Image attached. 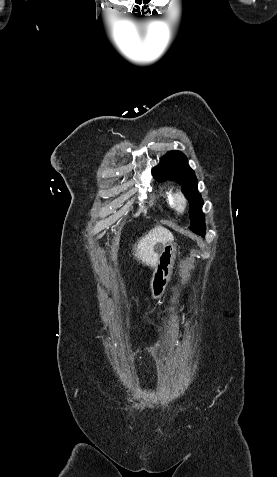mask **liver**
Segmentation results:
<instances>
[{
	"instance_id": "6515ba94",
	"label": "liver",
	"mask_w": 277,
	"mask_h": 477,
	"mask_svg": "<svg viewBox=\"0 0 277 477\" xmlns=\"http://www.w3.org/2000/svg\"><path fill=\"white\" fill-rule=\"evenodd\" d=\"M171 241H173L172 233L162 226H156L140 238L135 245L134 256L145 265L154 268L160 254L155 252V245L160 243L163 246Z\"/></svg>"
}]
</instances>
